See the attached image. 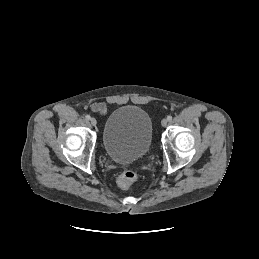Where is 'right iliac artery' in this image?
<instances>
[{
	"instance_id": "obj_1",
	"label": "right iliac artery",
	"mask_w": 259,
	"mask_h": 259,
	"mask_svg": "<svg viewBox=\"0 0 259 259\" xmlns=\"http://www.w3.org/2000/svg\"><path fill=\"white\" fill-rule=\"evenodd\" d=\"M85 118H86L87 120H90V119H91L90 115H86Z\"/></svg>"
}]
</instances>
